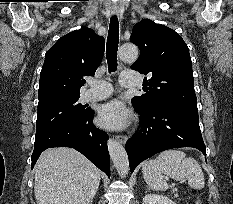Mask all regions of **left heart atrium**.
<instances>
[{"mask_svg":"<svg viewBox=\"0 0 233 204\" xmlns=\"http://www.w3.org/2000/svg\"><path fill=\"white\" fill-rule=\"evenodd\" d=\"M130 119V112L119 100L103 104L98 111L99 124L108 129L125 128Z\"/></svg>","mask_w":233,"mask_h":204,"instance_id":"obj_1","label":"left heart atrium"}]
</instances>
